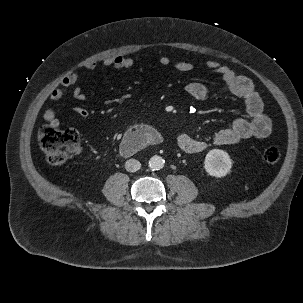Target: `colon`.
I'll return each instance as SVG.
<instances>
[{"label": "colon", "mask_w": 303, "mask_h": 303, "mask_svg": "<svg viewBox=\"0 0 303 303\" xmlns=\"http://www.w3.org/2000/svg\"><path fill=\"white\" fill-rule=\"evenodd\" d=\"M80 137L74 129H59L50 124L44 125L38 133V143L51 165L63 164L79 148ZM280 150L276 146H267L262 153L264 162L274 164L280 159Z\"/></svg>", "instance_id": "1"}]
</instances>
